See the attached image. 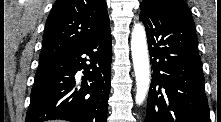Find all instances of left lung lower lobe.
Segmentation results:
<instances>
[{
    "mask_svg": "<svg viewBox=\"0 0 221 122\" xmlns=\"http://www.w3.org/2000/svg\"><path fill=\"white\" fill-rule=\"evenodd\" d=\"M140 8L152 64L145 122H210L189 10L160 0H144Z\"/></svg>",
    "mask_w": 221,
    "mask_h": 122,
    "instance_id": "1",
    "label": "left lung lower lobe"
}]
</instances>
